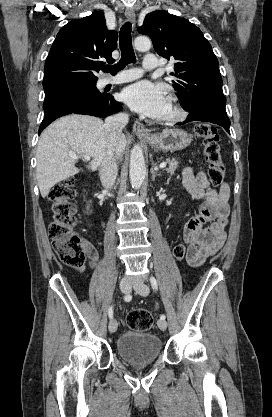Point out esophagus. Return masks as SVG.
<instances>
[{"label": "esophagus", "mask_w": 272, "mask_h": 417, "mask_svg": "<svg viewBox=\"0 0 272 417\" xmlns=\"http://www.w3.org/2000/svg\"><path fill=\"white\" fill-rule=\"evenodd\" d=\"M125 17L132 23L135 22V12L132 8H127L125 10ZM133 131L138 136H150L149 131L145 126L139 121H135L133 124Z\"/></svg>", "instance_id": "34e87169"}]
</instances>
